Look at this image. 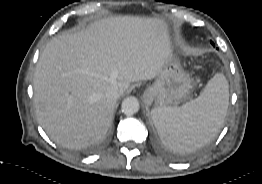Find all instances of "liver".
<instances>
[{"instance_id": "6515ba94", "label": "liver", "mask_w": 262, "mask_h": 184, "mask_svg": "<svg viewBox=\"0 0 262 184\" xmlns=\"http://www.w3.org/2000/svg\"><path fill=\"white\" fill-rule=\"evenodd\" d=\"M172 59L163 20L112 16L73 34L54 37L36 65L33 88L37 119L56 143L82 148L110 128L116 100L130 83L155 78Z\"/></svg>"}]
</instances>
